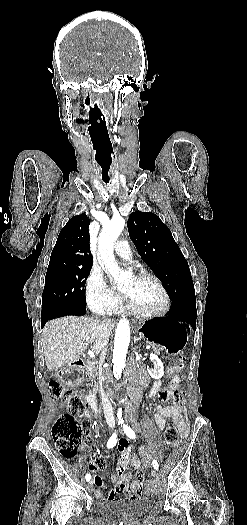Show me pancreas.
<instances>
[{
	"instance_id": "cf45deb5",
	"label": "pancreas",
	"mask_w": 247,
	"mask_h": 525,
	"mask_svg": "<svg viewBox=\"0 0 247 525\" xmlns=\"http://www.w3.org/2000/svg\"><path fill=\"white\" fill-rule=\"evenodd\" d=\"M154 351L156 353H160L162 348L160 346H156ZM86 371L89 375V385H94L95 381H97V361H95V359H92V361L86 365Z\"/></svg>"
}]
</instances>
